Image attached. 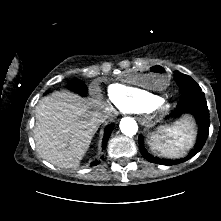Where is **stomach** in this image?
Listing matches in <instances>:
<instances>
[{"label": "stomach", "mask_w": 221, "mask_h": 221, "mask_svg": "<svg viewBox=\"0 0 221 221\" xmlns=\"http://www.w3.org/2000/svg\"><path fill=\"white\" fill-rule=\"evenodd\" d=\"M126 82L148 90L164 91L169 86L168 69L163 64H150L146 69L130 67L126 70Z\"/></svg>", "instance_id": "0dacf381"}]
</instances>
